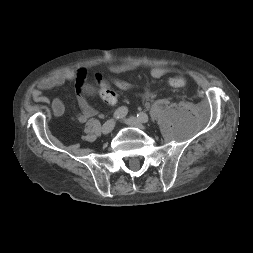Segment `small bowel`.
Here are the masks:
<instances>
[{
  "mask_svg": "<svg viewBox=\"0 0 253 253\" xmlns=\"http://www.w3.org/2000/svg\"><path fill=\"white\" fill-rule=\"evenodd\" d=\"M138 64L134 62L115 64L109 67V71L113 74H124L127 72L134 71L138 68ZM169 69L164 66L153 68L150 72V76L153 79H160L167 75ZM86 79V71L79 69L77 71H65L58 73L47 78L42 79L35 90L32 92V99L36 103L49 104L48 97L44 94L45 91L59 87L66 82H75L77 91V101L80 108V112L76 117L79 123H85L88 119L95 116L97 111L93 108L85 99L83 94V84ZM51 110L55 117L63 115L65 107L64 103L59 99L55 98L51 102Z\"/></svg>",
  "mask_w": 253,
  "mask_h": 253,
  "instance_id": "1",
  "label": "small bowel"
}]
</instances>
